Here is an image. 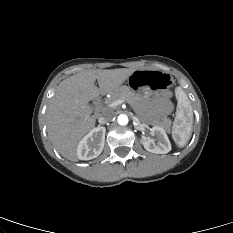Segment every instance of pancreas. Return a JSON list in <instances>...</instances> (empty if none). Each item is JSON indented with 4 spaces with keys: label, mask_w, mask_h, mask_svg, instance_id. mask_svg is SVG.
<instances>
[{
    "label": "pancreas",
    "mask_w": 233,
    "mask_h": 233,
    "mask_svg": "<svg viewBox=\"0 0 233 233\" xmlns=\"http://www.w3.org/2000/svg\"><path fill=\"white\" fill-rule=\"evenodd\" d=\"M118 99L126 100L132 107L137 105L140 101V97L134 94L127 86H122L117 92L111 94V98L108 100V103L110 104Z\"/></svg>",
    "instance_id": "pancreas-1"
}]
</instances>
